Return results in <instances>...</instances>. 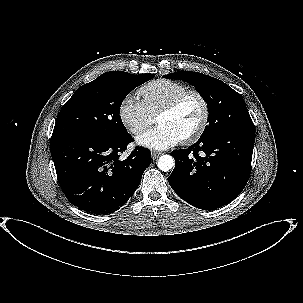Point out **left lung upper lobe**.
<instances>
[{"instance_id": "1", "label": "left lung upper lobe", "mask_w": 303, "mask_h": 303, "mask_svg": "<svg viewBox=\"0 0 303 303\" xmlns=\"http://www.w3.org/2000/svg\"><path fill=\"white\" fill-rule=\"evenodd\" d=\"M163 77L188 82L207 103L209 124L200 139L230 130L255 129L243 97L224 82L192 71H179Z\"/></svg>"}]
</instances>
